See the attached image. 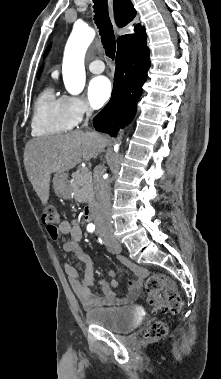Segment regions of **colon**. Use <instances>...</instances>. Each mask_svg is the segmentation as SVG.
Masks as SVG:
<instances>
[{
    "label": "colon",
    "mask_w": 221,
    "mask_h": 379,
    "mask_svg": "<svg viewBox=\"0 0 221 379\" xmlns=\"http://www.w3.org/2000/svg\"><path fill=\"white\" fill-rule=\"evenodd\" d=\"M41 221L47 230L55 232L60 223V213L54 206H47L41 216ZM147 303L156 311L178 313L182 309V298L173 280L152 273L146 281ZM168 328L164 322L153 323L145 333L147 339H157L167 334Z\"/></svg>",
    "instance_id": "colon-1"
}]
</instances>
